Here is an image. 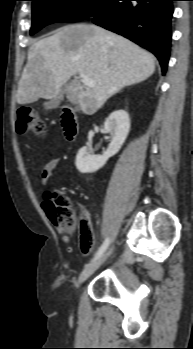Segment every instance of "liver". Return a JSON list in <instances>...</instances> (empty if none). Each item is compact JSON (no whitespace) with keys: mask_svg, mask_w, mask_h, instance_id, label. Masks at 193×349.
<instances>
[{"mask_svg":"<svg viewBox=\"0 0 193 349\" xmlns=\"http://www.w3.org/2000/svg\"><path fill=\"white\" fill-rule=\"evenodd\" d=\"M154 56L128 39L92 24H72L36 41L18 84L17 103L53 99L70 77L84 73L94 87L72 82L66 86L69 101L85 114H94L112 95L150 77Z\"/></svg>","mask_w":193,"mask_h":349,"instance_id":"1","label":"liver"}]
</instances>
